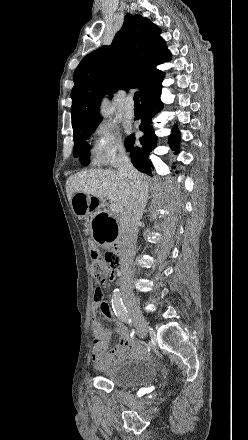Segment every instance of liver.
<instances>
[{"instance_id": "6515ba94", "label": "liver", "mask_w": 248, "mask_h": 440, "mask_svg": "<svg viewBox=\"0 0 248 440\" xmlns=\"http://www.w3.org/2000/svg\"><path fill=\"white\" fill-rule=\"evenodd\" d=\"M145 181L147 178L143 175ZM134 184L126 176L112 169H92L70 176L66 181L67 198L71 202L75 193L81 192L126 207L133 198Z\"/></svg>"}]
</instances>
